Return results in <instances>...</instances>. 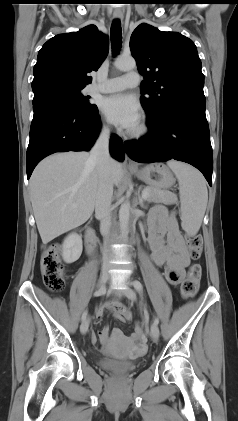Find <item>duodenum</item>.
Returning a JSON list of instances; mask_svg holds the SVG:
<instances>
[{"label":"duodenum","instance_id":"1","mask_svg":"<svg viewBox=\"0 0 238 421\" xmlns=\"http://www.w3.org/2000/svg\"><path fill=\"white\" fill-rule=\"evenodd\" d=\"M85 243H86V249L88 251V253H92L95 248H96V235L95 232L92 228H89L86 231V235H85Z\"/></svg>","mask_w":238,"mask_h":421}]
</instances>
